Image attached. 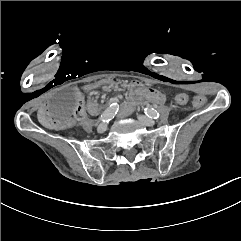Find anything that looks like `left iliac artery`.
<instances>
[{
  "label": "left iliac artery",
  "mask_w": 241,
  "mask_h": 241,
  "mask_svg": "<svg viewBox=\"0 0 241 241\" xmlns=\"http://www.w3.org/2000/svg\"><path fill=\"white\" fill-rule=\"evenodd\" d=\"M144 113L150 117V118H154L157 119L159 118L160 114L153 108H145L144 109Z\"/></svg>",
  "instance_id": "44dca946"
}]
</instances>
